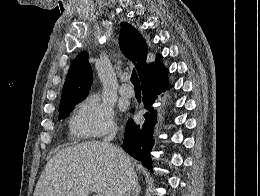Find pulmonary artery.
Wrapping results in <instances>:
<instances>
[{
	"label": "pulmonary artery",
	"instance_id": "obj_1",
	"mask_svg": "<svg viewBox=\"0 0 260 196\" xmlns=\"http://www.w3.org/2000/svg\"><path fill=\"white\" fill-rule=\"evenodd\" d=\"M119 91H120L121 96L126 97V98H130L134 95V89H133V87H131L129 85L121 86Z\"/></svg>",
	"mask_w": 260,
	"mask_h": 196
}]
</instances>
